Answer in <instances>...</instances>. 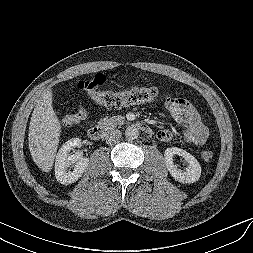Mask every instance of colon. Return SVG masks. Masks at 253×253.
Segmentation results:
<instances>
[{"mask_svg":"<svg viewBox=\"0 0 253 253\" xmlns=\"http://www.w3.org/2000/svg\"><path fill=\"white\" fill-rule=\"evenodd\" d=\"M105 80L106 78L102 74H98L91 80L81 82L80 88L86 90L95 103L107 107H121L135 103L150 102L156 100L159 95V89L155 86L135 87L121 92L104 91L101 90V86ZM85 114V109L81 108L76 112L67 114L63 118V123L67 126L79 123ZM212 157L213 152L211 150H207L202 154V158L205 161L211 160Z\"/></svg>","mask_w":253,"mask_h":253,"instance_id":"colon-1","label":"colon"}]
</instances>
